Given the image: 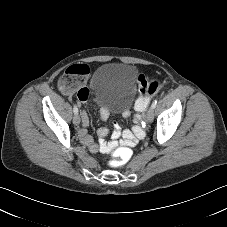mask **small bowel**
Returning a JSON list of instances; mask_svg holds the SVG:
<instances>
[{
	"label": "small bowel",
	"instance_id": "c3829d8e",
	"mask_svg": "<svg viewBox=\"0 0 227 227\" xmlns=\"http://www.w3.org/2000/svg\"><path fill=\"white\" fill-rule=\"evenodd\" d=\"M74 70L83 79H85L89 74V68L84 64L77 65ZM87 97H88V91H87ZM78 99L81 102H84L87 100V99L84 100L81 98H78ZM98 113H99V117L102 120H106L109 116L108 109H106L104 107H100L98 109ZM81 117H82V126L79 131V136H80V139L82 140V142L87 146L88 150L90 152H94V153L111 151L113 148L110 145H107L104 140L105 137H107L109 134L108 128H106V127L100 128L98 131V141H95L90 135L87 134V131H86V127L90 121L89 114L87 113V111H82ZM120 135H121L120 127L118 125H115L114 129L111 133V137H112V139L117 140L120 137ZM128 138H133V136H132V134L125 132V140H120L119 143L121 145L127 144ZM132 144H133V142H132ZM117 145H118V141H116V146Z\"/></svg>",
	"mask_w": 227,
	"mask_h": 227
}]
</instances>
